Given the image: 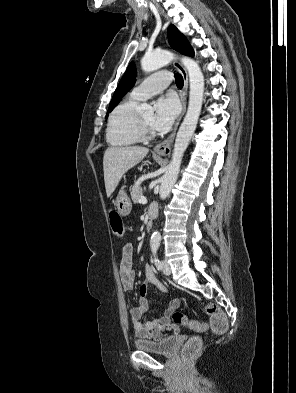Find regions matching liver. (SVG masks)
Returning a JSON list of instances; mask_svg holds the SVG:
<instances>
[{"label": "liver", "instance_id": "1", "mask_svg": "<svg viewBox=\"0 0 296 393\" xmlns=\"http://www.w3.org/2000/svg\"><path fill=\"white\" fill-rule=\"evenodd\" d=\"M148 152V148L139 146L106 149L103 157V170L107 197L114 192L122 176L140 163Z\"/></svg>", "mask_w": 296, "mask_h": 393}]
</instances>
